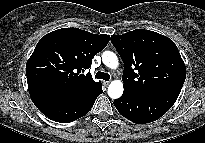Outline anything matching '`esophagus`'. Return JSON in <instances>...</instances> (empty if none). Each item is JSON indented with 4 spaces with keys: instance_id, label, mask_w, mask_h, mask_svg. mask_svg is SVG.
Segmentation results:
<instances>
[{
    "instance_id": "esophagus-1",
    "label": "esophagus",
    "mask_w": 205,
    "mask_h": 143,
    "mask_svg": "<svg viewBox=\"0 0 205 143\" xmlns=\"http://www.w3.org/2000/svg\"><path fill=\"white\" fill-rule=\"evenodd\" d=\"M104 86H108L110 84V81H103Z\"/></svg>"
}]
</instances>
